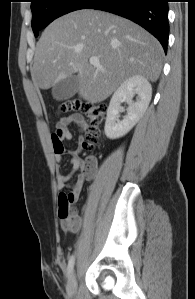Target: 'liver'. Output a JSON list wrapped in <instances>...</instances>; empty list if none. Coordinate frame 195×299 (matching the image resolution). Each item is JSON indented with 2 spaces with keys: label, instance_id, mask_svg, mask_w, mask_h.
Masks as SVG:
<instances>
[{
  "label": "liver",
  "instance_id": "6515ba94",
  "mask_svg": "<svg viewBox=\"0 0 195 299\" xmlns=\"http://www.w3.org/2000/svg\"><path fill=\"white\" fill-rule=\"evenodd\" d=\"M98 57L101 68L89 63ZM163 49L145 29L120 16L82 9L54 20L36 45L31 76L47 90L77 73L79 95L89 103L109 97L128 78L155 82Z\"/></svg>",
  "mask_w": 195,
  "mask_h": 299
}]
</instances>
